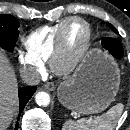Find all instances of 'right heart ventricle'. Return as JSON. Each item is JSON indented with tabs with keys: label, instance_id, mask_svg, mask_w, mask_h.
<instances>
[{
	"label": "right heart ventricle",
	"instance_id": "obj_1",
	"mask_svg": "<svg viewBox=\"0 0 130 130\" xmlns=\"http://www.w3.org/2000/svg\"><path fill=\"white\" fill-rule=\"evenodd\" d=\"M69 19V18H68ZM68 19L40 27L23 38V45L32 57L45 62L50 59L57 36Z\"/></svg>",
	"mask_w": 130,
	"mask_h": 130
}]
</instances>
